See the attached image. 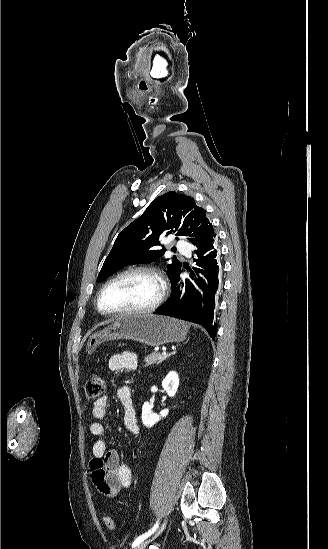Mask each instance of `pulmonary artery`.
Listing matches in <instances>:
<instances>
[{"label": "pulmonary artery", "instance_id": "pulmonary-artery-1", "mask_svg": "<svg viewBox=\"0 0 328 549\" xmlns=\"http://www.w3.org/2000/svg\"><path fill=\"white\" fill-rule=\"evenodd\" d=\"M171 248H172L173 251L179 252V251L182 250L183 245H182L181 242L175 241V242L172 243Z\"/></svg>", "mask_w": 328, "mask_h": 549}]
</instances>
